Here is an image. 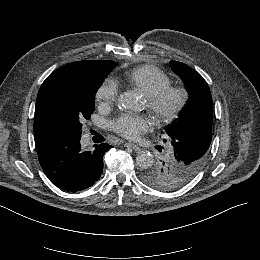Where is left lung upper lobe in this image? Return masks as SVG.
I'll return each mask as SVG.
<instances>
[{"label":"left lung upper lobe","instance_id":"left-lung-upper-lobe-1","mask_svg":"<svg viewBox=\"0 0 260 260\" xmlns=\"http://www.w3.org/2000/svg\"><path fill=\"white\" fill-rule=\"evenodd\" d=\"M170 65L184 81L189 100L179 119L166 128L171 154L156 160L141 174L149 186L166 191L184 186L203 167L209 155L213 121L212 97L203 77L184 63L171 61Z\"/></svg>","mask_w":260,"mask_h":260}]
</instances>
